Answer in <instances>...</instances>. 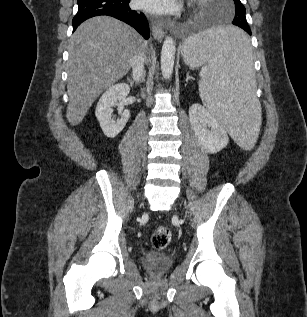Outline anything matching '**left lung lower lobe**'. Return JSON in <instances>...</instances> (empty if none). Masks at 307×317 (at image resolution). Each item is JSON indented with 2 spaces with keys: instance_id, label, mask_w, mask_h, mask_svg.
Here are the masks:
<instances>
[{
  "instance_id": "1",
  "label": "left lung lower lobe",
  "mask_w": 307,
  "mask_h": 317,
  "mask_svg": "<svg viewBox=\"0 0 307 317\" xmlns=\"http://www.w3.org/2000/svg\"><path fill=\"white\" fill-rule=\"evenodd\" d=\"M236 26H239L240 28L245 30L249 35H251V30L249 26H245V25H236ZM224 41L230 49L235 51L242 50L249 43L248 38L245 34L239 35V36H229V37H226Z\"/></svg>"
}]
</instances>
